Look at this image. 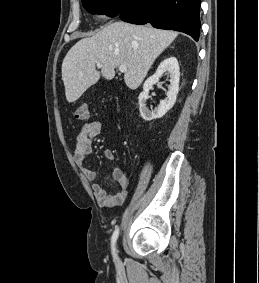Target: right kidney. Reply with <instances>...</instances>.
Wrapping results in <instances>:
<instances>
[{"label":"right kidney","instance_id":"ca27d5eb","mask_svg":"<svg viewBox=\"0 0 259 283\" xmlns=\"http://www.w3.org/2000/svg\"><path fill=\"white\" fill-rule=\"evenodd\" d=\"M170 75V85L167 91V97L160 101V104L154 110H149L146 106V101L149 98V90L159 81V78L164 74ZM180 71L179 64L175 57H169L162 61L156 72L149 77L144 85L143 92L139 95V111L141 117L146 121H151L163 117L175 104L179 91Z\"/></svg>","mask_w":259,"mask_h":283}]
</instances>
